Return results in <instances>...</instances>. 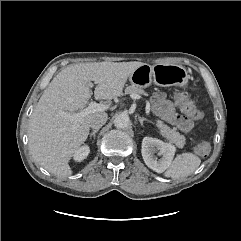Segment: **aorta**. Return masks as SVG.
<instances>
[{
  "instance_id": "obj_1",
  "label": "aorta",
  "mask_w": 241,
  "mask_h": 241,
  "mask_svg": "<svg viewBox=\"0 0 241 241\" xmlns=\"http://www.w3.org/2000/svg\"><path fill=\"white\" fill-rule=\"evenodd\" d=\"M114 125L118 129H125L130 126V119L126 114L118 115L114 120Z\"/></svg>"
}]
</instances>
